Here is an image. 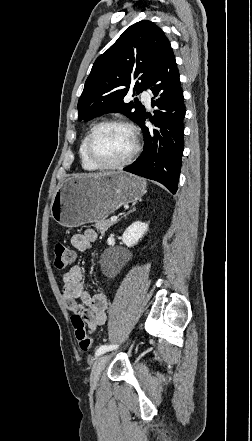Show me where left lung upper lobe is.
Segmentation results:
<instances>
[{"label":"left lung upper lobe","mask_w":252,"mask_h":441,"mask_svg":"<svg viewBox=\"0 0 252 441\" xmlns=\"http://www.w3.org/2000/svg\"><path fill=\"white\" fill-rule=\"evenodd\" d=\"M166 42L164 32L151 21L128 27L93 64L78 101V119L120 112L139 125L145 117L144 106L137 101L124 103L123 98L130 87L136 94L149 87Z\"/></svg>","instance_id":"1"}]
</instances>
